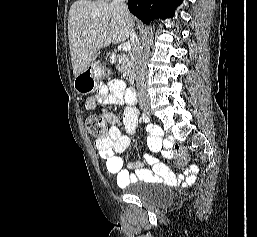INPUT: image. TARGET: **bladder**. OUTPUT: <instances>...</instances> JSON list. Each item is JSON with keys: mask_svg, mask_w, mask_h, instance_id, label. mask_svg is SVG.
Instances as JSON below:
<instances>
[{"mask_svg": "<svg viewBox=\"0 0 257 237\" xmlns=\"http://www.w3.org/2000/svg\"><path fill=\"white\" fill-rule=\"evenodd\" d=\"M148 183H150V182H148ZM152 183H157V182H152ZM132 194L142 200H146L148 202L155 203V204L164 202L165 200L169 199L168 196H164L163 194H150L139 188H134L132 190Z\"/></svg>", "mask_w": 257, "mask_h": 237, "instance_id": "1", "label": "bladder"}]
</instances>
